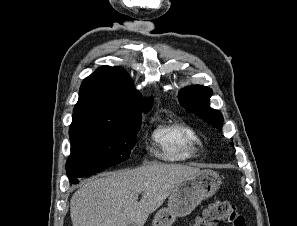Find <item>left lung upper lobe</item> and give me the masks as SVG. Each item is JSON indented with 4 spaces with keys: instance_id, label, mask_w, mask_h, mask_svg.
<instances>
[{
    "instance_id": "5c2ea615",
    "label": "left lung upper lobe",
    "mask_w": 297,
    "mask_h": 226,
    "mask_svg": "<svg viewBox=\"0 0 297 226\" xmlns=\"http://www.w3.org/2000/svg\"><path fill=\"white\" fill-rule=\"evenodd\" d=\"M212 90L205 86L194 85L180 91L178 99L181 105L192 111L215 128H221L223 124L222 114L210 107Z\"/></svg>"
}]
</instances>
